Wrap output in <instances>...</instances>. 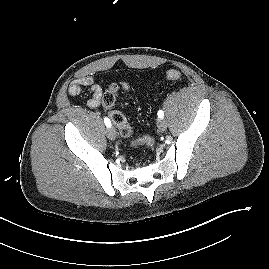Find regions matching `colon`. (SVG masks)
<instances>
[{"instance_id":"obj_1","label":"colon","mask_w":269,"mask_h":269,"mask_svg":"<svg viewBox=\"0 0 269 269\" xmlns=\"http://www.w3.org/2000/svg\"><path fill=\"white\" fill-rule=\"evenodd\" d=\"M182 77L180 71L171 69L166 72V78L171 81H177ZM124 87L116 83H112L105 93L102 96V105L105 109H111L115 102L116 97L120 91V89ZM110 119L113 124L118 128L121 137L130 138L133 133L132 125L126 119V117L119 111H110L109 113ZM153 143V139L151 137L145 136L134 142V144H148L151 145Z\"/></svg>"}]
</instances>
